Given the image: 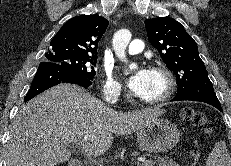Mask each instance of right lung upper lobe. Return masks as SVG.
<instances>
[{
    "label": "right lung upper lobe",
    "mask_w": 231,
    "mask_h": 166,
    "mask_svg": "<svg viewBox=\"0 0 231 166\" xmlns=\"http://www.w3.org/2000/svg\"><path fill=\"white\" fill-rule=\"evenodd\" d=\"M109 22L98 15L68 20L50 42L47 55L97 57V47Z\"/></svg>",
    "instance_id": "obj_1"
}]
</instances>
